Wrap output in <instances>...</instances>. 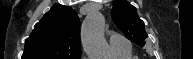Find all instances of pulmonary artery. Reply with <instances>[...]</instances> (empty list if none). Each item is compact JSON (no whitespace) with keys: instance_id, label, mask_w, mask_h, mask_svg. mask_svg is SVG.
Masks as SVG:
<instances>
[{"instance_id":"obj_1","label":"pulmonary artery","mask_w":193,"mask_h":59,"mask_svg":"<svg viewBox=\"0 0 193 59\" xmlns=\"http://www.w3.org/2000/svg\"><path fill=\"white\" fill-rule=\"evenodd\" d=\"M109 42L114 51L131 50V45L126 41L125 37L115 32L109 33Z\"/></svg>"}]
</instances>
